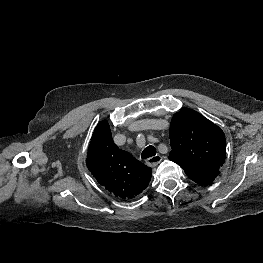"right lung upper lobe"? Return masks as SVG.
I'll list each match as a JSON object with an SVG mask.
<instances>
[{"label":"right lung upper lobe","instance_id":"obj_1","mask_svg":"<svg viewBox=\"0 0 263 263\" xmlns=\"http://www.w3.org/2000/svg\"><path fill=\"white\" fill-rule=\"evenodd\" d=\"M86 165L100 185L122 199L142 192L151 179V168L115 145L107 120L93 132Z\"/></svg>","mask_w":263,"mask_h":263}]
</instances>
